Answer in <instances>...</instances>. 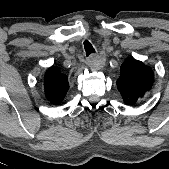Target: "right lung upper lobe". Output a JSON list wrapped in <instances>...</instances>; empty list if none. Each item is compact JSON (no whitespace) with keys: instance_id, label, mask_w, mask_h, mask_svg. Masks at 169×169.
<instances>
[{"instance_id":"obj_1","label":"right lung upper lobe","mask_w":169,"mask_h":169,"mask_svg":"<svg viewBox=\"0 0 169 169\" xmlns=\"http://www.w3.org/2000/svg\"><path fill=\"white\" fill-rule=\"evenodd\" d=\"M45 92L48 100L53 104H60L68 89V79L55 66L50 67L44 77Z\"/></svg>"}]
</instances>
